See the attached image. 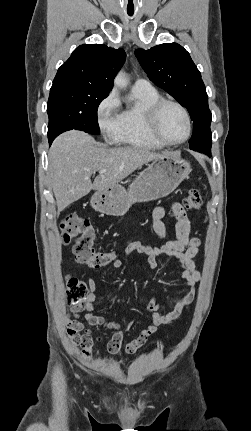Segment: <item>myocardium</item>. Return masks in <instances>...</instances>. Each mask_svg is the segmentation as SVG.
Instances as JSON below:
<instances>
[{
    "label": "myocardium",
    "instance_id": "obj_1",
    "mask_svg": "<svg viewBox=\"0 0 251 431\" xmlns=\"http://www.w3.org/2000/svg\"><path fill=\"white\" fill-rule=\"evenodd\" d=\"M167 105L177 107L183 113L186 121V134L181 140L176 142L166 140L159 131V116L164 107H166ZM146 126L150 135L163 146H179L185 143L189 139L192 131L191 117L186 107L176 100L167 98H160L147 108Z\"/></svg>",
    "mask_w": 251,
    "mask_h": 431
}]
</instances>
